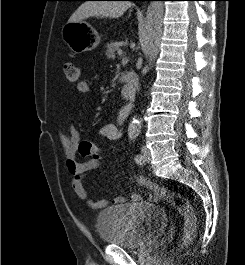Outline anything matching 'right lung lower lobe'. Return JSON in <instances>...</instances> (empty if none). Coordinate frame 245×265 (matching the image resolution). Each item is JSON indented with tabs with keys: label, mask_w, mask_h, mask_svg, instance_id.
<instances>
[{
	"label": "right lung lower lobe",
	"mask_w": 245,
	"mask_h": 265,
	"mask_svg": "<svg viewBox=\"0 0 245 265\" xmlns=\"http://www.w3.org/2000/svg\"><path fill=\"white\" fill-rule=\"evenodd\" d=\"M86 1V0H83ZM128 1H141V0H128ZM146 1H151V0H146Z\"/></svg>",
	"instance_id": "98d812e1"
}]
</instances>
